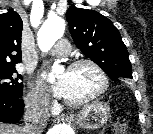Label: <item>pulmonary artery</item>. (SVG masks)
Masks as SVG:
<instances>
[{"label": "pulmonary artery", "instance_id": "pulmonary-artery-1", "mask_svg": "<svg viewBox=\"0 0 153 134\" xmlns=\"http://www.w3.org/2000/svg\"><path fill=\"white\" fill-rule=\"evenodd\" d=\"M70 51V44L67 40L61 39L57 42L55 47L50 51V55L56 57H62L69 53Z\"/></svg>", "mask_w": 153, "mask_h": 134}]
</instances>
